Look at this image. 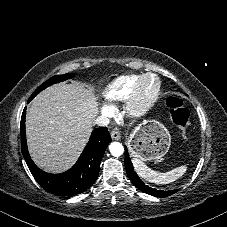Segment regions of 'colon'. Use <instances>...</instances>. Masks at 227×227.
Wrapping results in <instances>:
<instances>
[{
	"label": "colon",
	"instance_id": "1",
	"mask_svg": "<svg viewBox=\"0 0 227 227\" xmlns=\"http://www.w3.org/2000/svg\"><path fill=\"white\" fill-rule=\"evenodd\" d=\"M170 108V117L173 123L182 131L186 132L190 119V111L178 96H170L167 100Z\"/></svg>",
	"mask_w": 227,
	"mask_h": 227
}]
</instances>
